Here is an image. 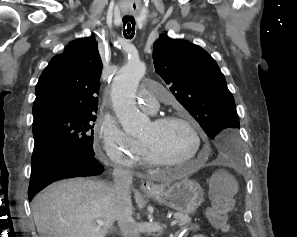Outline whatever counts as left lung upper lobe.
Masks as SVG:
<instances>
[{"label": "left lung upper lobe", "instance_id": "5c2ea615", "mask_svg": "<svg viewBox=\"0 0 297 237\" xmlns=\"http://www.w3.org/2000/svg\"><path fill=\"white\" fill-rule=\"evenodd\" d=\"M153 60L156 73L213 141L216 155L240 158L239 116L215 60L200 46L167 35L154 43Z\"/></svg>", "mask_w": 297, "mask_h": 237}]
</instances>
